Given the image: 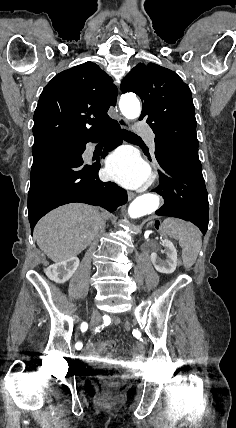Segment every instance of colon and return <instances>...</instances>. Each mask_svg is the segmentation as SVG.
Segmentation results:
<instances>
[{
	"mask_svg": "<svg viewBox=\"0 0 236 428\" xmlns=\"http://www.w3.org/2000/svg\"><path fill=\"white\" fill-rule=\"evenodd\" d=\"M124 328H125L126 330H130V328H131L130 323L126 322V323L124 324Z\"/></svg>",
	"mask_w": 236,
	"mask_h": 428,
	"instance_id": "obj_1",
	"label": "colon"
}]
</instances>
